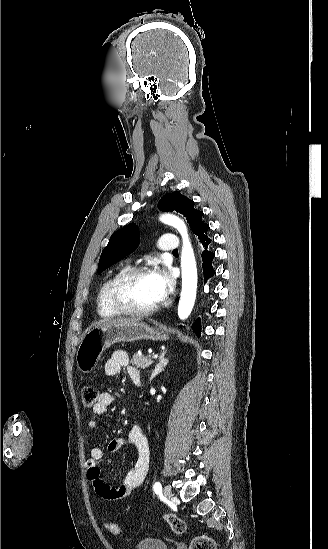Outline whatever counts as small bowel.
<instances>
[{"mask_svg": "<svg viewBox=\"0 0 328 549\" xmlns=\"http://www.w3.org/2000/svg\"><path fill=\"white\" fill-rule=\"evenodd\" d=\"M122 368H126L129 376L134 381L139 376L135 368L129 365V356L125 351L118 350L112 353L104 365V372L107 376L117 375ZM114 401L109 392H102L92 408L95 415L104 414ZM88 428L92 431L99 429V424L92 419L88 422ZM124 446L133 447L137 452L134 466L125 474L120 486L115 487L106 483L101 475L98 462L103 457V451L94 447L90 451L87 460L88 479L92 483L95 492L105 500H119L129 496L144 481L149 469L150 448L149 443L141 428L134 424L126 437L115 438L108 444V452L116 453Z\"/></svg>", "mask_w": 328, "mask_h": 549, "instance_id": "small-bowel-1", "label": "small bowel"}]
</instances>
